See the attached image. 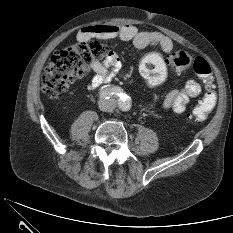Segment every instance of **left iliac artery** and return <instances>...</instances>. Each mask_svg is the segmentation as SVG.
Segmentation results:
<instances>
[{"label":"left iliac artery","instance_id":"1","mask_svg":"<svg viewBox=\"0 0 233 233\" xmlns=\"http://www.w3.org/2000/svg\"><path fill=\"white\" fill-rule=\"evenodd\" d=\"M120 107L125 111L129 110L130 109V97L127 96L124 99V101L120 104Z\"/></svg>","mask_w":233,"mask_h":233}]
</instances>
